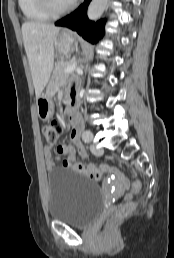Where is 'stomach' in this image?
I'll use <instances>...</instances> for the list:
<instances>
[{"label":"stomach","instance_id":"obj_1","mask_svg":"<svg viewBox=\"0 0 174 258\" xmlns=\"http://www.w3.org/2000/svg\"><path fill=\"white\" fill-rule=\"evenodd\" d=\"M76 46V40L73 33L63 31L56 42L57 53L66 56L72 53ZM38 116L42 120H48L53 116L54 104L52 101L51 87L42 92L36 99Z\"/></svg>","mask_w":174,"mask_h":258}]
</instances>
